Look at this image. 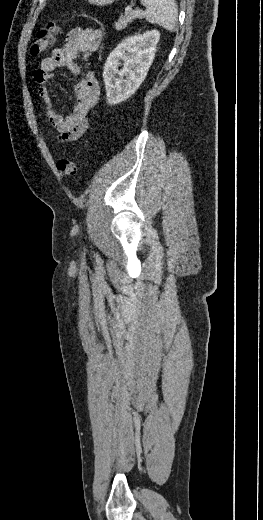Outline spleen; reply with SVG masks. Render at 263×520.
Returning a JSON list of instances; mask_svg holds the SVG:
<instances>
[{
    "mask_svg": "<svg viewBox=\"0 0 263 520\" xmlns=\"http://www.w3.org/2000/svg\"><path fill=\"white\" fill-rule=\"evenodd\" d=\"M141 3L146 7L145 17L149 23L174 31L178 20L175 0H141Z\"/></svg>",
    "mask_w": 263,
    "mask_h": 520,
    "instance_id": "spleen-1",
    "label": "spleen"
}]
</instances>
